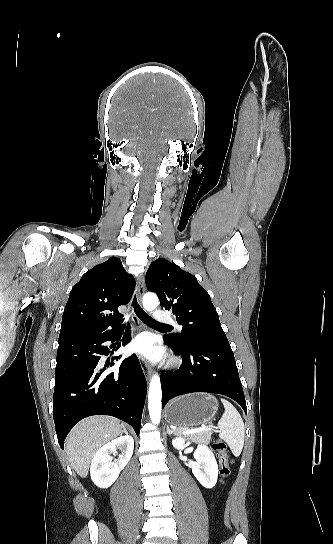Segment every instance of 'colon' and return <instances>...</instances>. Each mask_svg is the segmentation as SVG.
<instances>
[{"instance_id":"colon-1","label":"colon","mask_w":333,"mask_h":544,"mask_svg":"<svg viewBox=\"0 0 333 544\" xmlns=\"http://www.w3.org/2000/svg\"><path fill=\"white\" fill-rule=\"evenodd\" d=\"M213 449L219 457L221 483H223L230 473L228 448L223 440L217 439L213 444Z\"/></svg>"}]
</instances>
